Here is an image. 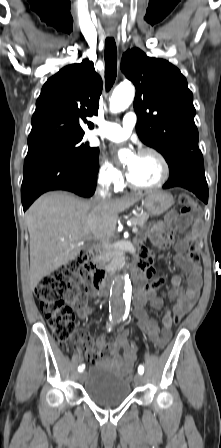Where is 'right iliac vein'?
I'll return each instance as SVG.
<instances>
[{
	"label": "right iliac vein",
	"mask_w": 221,
	"mask_h": 448,
	"mask_svg": "<svg viewBox=\"0 0 221 448\" xmlns=\"http://www.w3.org/2000/svg\"><path fill=\"white\" fill-rule=\"evenodd\" d=\"M84 376H85V372H81V373L78 374V379H79L80 381H82L83 378H84Z\"/></svg>",
	"instance_id": "obj_1"
}]
</instances>
